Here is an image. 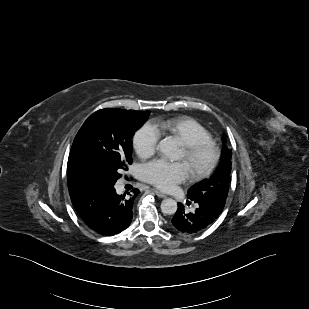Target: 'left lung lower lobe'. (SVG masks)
<instances>
[{
  "label": "left lung lower lobe",
  "mask_w": 309,
  "mask_h": 309,
  "mask_svg": "<svg viewBox=\"0 0 309 309\" xmlns=\"http://www.w3.org/2000/svg\"><path fill=\"white\" fill-rule=\"evenodd\" d=\"M191 200L197 206L194 211L188 213L179 203L176 214L172 218L175 229L186 235L197 234L209 228L218 219L224 208L208 202Z\"/></svg>",
  "instance_id": "obj_1"
}]
</instances>
